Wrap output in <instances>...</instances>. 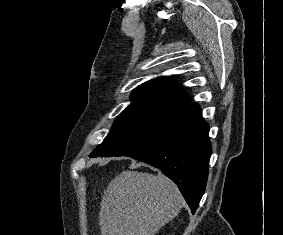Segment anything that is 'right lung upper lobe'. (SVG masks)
I'll return each mask as SVG.
<instances>
[{
  "label": "right lung upper lobe",
  "mask_w": 283,
  "mask_h": 235,
  "mask_svg": "<svg viewBox=\"0 0 283 235\" xmlns=\"http://www.w3.org/2000/svg\"><path fill=\"white\" fill-rule=\"evenodd\" d=\"M133 102H172L190 105L191 99L170 79H154L139 85L131 95Z\"/></svg>",
  "instance_id": "obj_1"
}]
</instances>
